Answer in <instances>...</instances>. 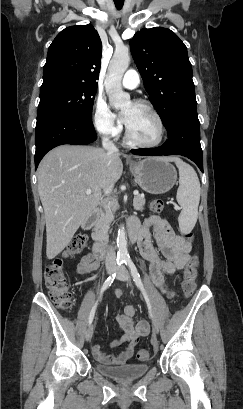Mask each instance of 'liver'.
<instances>
[{"instance_id":"obj_1","label":"liver","mask_w":243,"mask_h":409,"mask_svg":"<svg viewBox=\"0 0 243 409\" xmlns=\"http://www.w3.org/2000/svg\"><path fill=\"white\" fill-rule=\"evenodd\" d=\"M120 153L81 145L48 152L37 170L46 221V256L55 258L100 203L102 192L121 177ZM90 189L91 194L85 191Z\"/></svg>"}]
</instances>
